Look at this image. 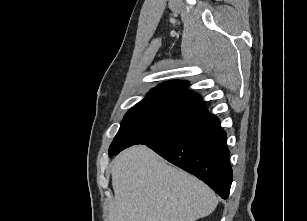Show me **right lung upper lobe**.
<instances>
[{"label":"right lung upper lobe","instance_id":"obj_1","mask_svg":"<svg viewBox=\"0 0 307 221\" xmlns=\"http://www.w3.org/2000/svg\"><path fill=\"white\" fill-rule=\"evenodd\" d=\"M187 85L184 81L165 82L153 88L141 102H178L205 107L198 94L185 91Z\"/></svg>","mask_w":307,"mask_h":221}]
</instances>
